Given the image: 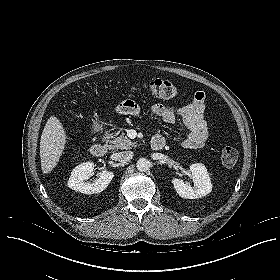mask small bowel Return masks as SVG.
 I'll list each match as a JSON object with an SVG mask.
<instances>
[{
    "label": "small bowel",
    "mask_w": 280,
    "mask_h": 280,
    "mask_svg": "<svg viewBox=\"0 0 280 280\" xmlns=\"http://www.w3.org/2000/svg\"><path fill=\"white\" fill-rule=\"evenodd\" d=\"M134 105L132 113L129 115H138L139 108ZM206 109V93L203 90H197L190 97L188 104L175 108L161 103H156L152 106L151 111L154 115L160 117L165 123L173 124L177 117L181 118L184 126L189 133L183 140L182 145L189 149H199L205 146L209 138V128L205 119ZM117 113L121 114L120 106L116 109ZM155 137H162L157 133Z\"/></svg>",
    "instance_id": "obj_1"
}]
</instances>
